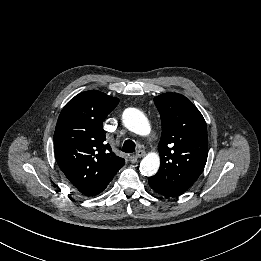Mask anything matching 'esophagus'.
I'll return each mask as SVG.
<instances>
[{
    "mask_svg": "<svg viewBox=\"0 0 261 261\" xmlns=\"http://www.w3.org/2000/svg\"><path fill=\"white\" fill-rule=\"evenodd\" d=\"M145 155V151L143 150H138L135 154V157L136 158H140V157H143Z\"/></svg>",
    "mask_w": 261,
    "mask_h": 261,
    "instance_id": "1",
    "label": "esophagus"
}]
</instances>
